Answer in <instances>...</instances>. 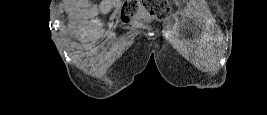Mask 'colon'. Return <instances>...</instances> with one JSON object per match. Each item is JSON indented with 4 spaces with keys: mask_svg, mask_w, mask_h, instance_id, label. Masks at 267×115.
Wrapping results in <instances>:
<instances>
[{
    "mask_svg": "<svg viewBox=\"0 0 267 115\" xmlns=\"http://www.w3.org/2000/svg\"><path fill=\"white\" fill-rule=\"evenodd\" d=\"M141 6L158 20H166L170 15V5L167 0H137L124 3L121 9V20L124 23L133 21L140 12Z\"/></svg>",
    "mask_w": 267,
    "mask_h": 115,
    "instance_id": "colon-1",
    "label": "colon"
}]
</instances>
